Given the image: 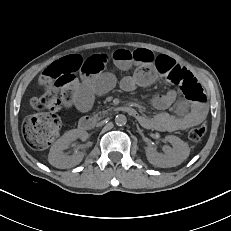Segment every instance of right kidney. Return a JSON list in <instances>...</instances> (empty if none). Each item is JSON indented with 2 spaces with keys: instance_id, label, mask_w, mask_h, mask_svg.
I'll return each mask as SVG.
<instances>
[{
  "instance_id": "obj_1",
  "label": "right kidney",
  "mask_w": 231,
  "mask_h": 231,
  "mask_svg": "<svg viewBox=\"0 0 231 231\" xmlns=\"http://www.w3.org/2000/svg\"><path fill=\"white\" fill-rule=\"evenodd\" d=\"M86 140L88 134L86 131L73 129L67 131L63 136H61L51 147L48 161L49 163L56 168H69L79 164L84 154L81 152H75L72 155H65L63 151L68 148L69 144L76 139Z\"/></svg>"
}]
</instances>
